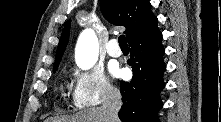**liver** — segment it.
Here are the masks:
<instances>
[{
    "instance_id": "1",
    "label": "liver",
    "mask_w": 221,
    "mask_h": 122,
    "mask_svg": "<svg viewBox=\"0 0 221 122\" xmlns=\"http://www.w3.org/2000/svg\"><path fill=\"white\" fill-rule=\"evenodd\" d=\"M45 122H107L102 107L88 108L69 117H55L46 119Z\"/></svg>"
}]
</instances>
